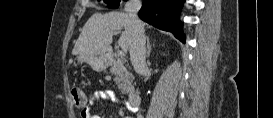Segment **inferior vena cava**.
I'll use <instances>...</instances> for the list:
<instances>
[{
  "label": "inferior vena cava",
  "mask_w": 273,
  "mask_h": 118,
  "mask_svg": "<svg viewBox=\"0 0 273 118\" xmlns=\"http://www.w3.org/2000/svg\"><path fill=\"white\" fill-rule=\"evenodd\" d=\"M140 8V0H129L125 5V11L128 13L133 27V36L130 45V60L134 67V70L138 74H142L147 69L145 59L146 38L142 23L137 16Z\"/></svg>",
  "instance_id": "602c4592"
}]
</instances>
